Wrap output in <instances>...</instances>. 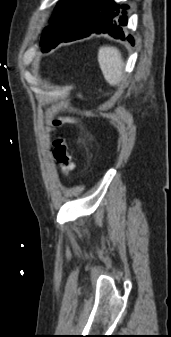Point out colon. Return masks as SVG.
Segmentation results:
<instances>
[{
  "instance_id": "5ec220e1",
  "label": "colon",
  "mask_w": 171,
  "mask_h": 337,
  "mask_svg": "<svg viewBox=\"0 0 171 337\" xmlns=\"http://www.w3.org/2000/svg\"><path fill=\"white\" fill-rule=\"evenodd\" d=\"M77 98L79 100L83 99L81 92L77 93ZM78 122L75 117H58L53 121L55 126L61 125H73ZM52 155L54 160L59 165L64 176H67L74 169V162L69 151V146L63 137H55L52 142Z\"/></svg>"
}]
</instances>
